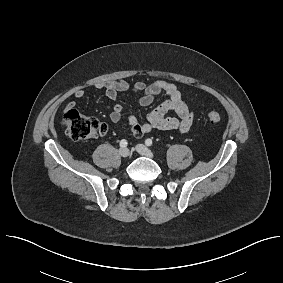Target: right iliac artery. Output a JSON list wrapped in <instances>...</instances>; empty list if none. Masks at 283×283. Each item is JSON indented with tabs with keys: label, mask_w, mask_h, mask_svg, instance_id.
<instances>
[{
	"label": "right iliac artery",
	"mask_w": 283,
	"mask_h": 283,
	"mask_svg": "<svg viewBox=\"0 0 283 283\" xmlns=\"http://www.w3.org/2000/svg\"><path fill=\"white\" fill-rule=\"evenodd\" d=\"M127 141L125 140V139H122L121 141H120V146L122 147V148H125L126 146H127Z\"/></svg>",
	"instance_id": "obj_1"
}]
</instances>
